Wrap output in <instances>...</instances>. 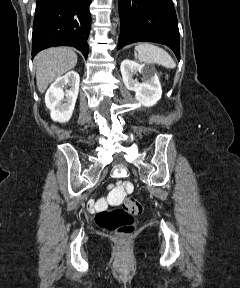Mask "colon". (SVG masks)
I'll return each mask as SVG.
<instances>
[{"mask_svg": "<svg viewBox=\"0 0 240 288\" xmlns=\"http://www.w3.org/2000/svg\"><path fill=\"white\" fill-rule=\"evenodd\" d=\"M123 187L127 191L132 190V185L129 182L123 183ZM141 212V203L134 198H128L122 208L99 211L95 216V222L106 231L125 235L133 231L134 217Z\"/></svg>", "mask_w": 240, "mask_h": 288, "instance_id": "colon-1", "label": "colon"}]
</instances>
